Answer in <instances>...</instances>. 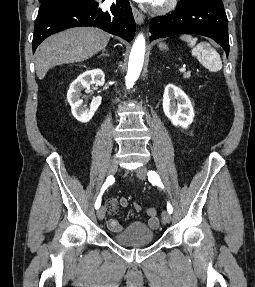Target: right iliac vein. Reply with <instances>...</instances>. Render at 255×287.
Wrapping results in <instances>:
<instances>
[{"label": "right iliac vein", "mask_w": 255, "mask_h": 287, "mask_svg": "<svg viewBox=\"0 0 255 287\" xmlns=\"http://www.w3.org/2000/svg\"><path fill=\"white\" fill-rule=\"evenodd\" d=\"M118 165L117 162L115 160H112L109 165H108V173L109 174H115L117 171ZM105 216V208L103 206H101L98 210H97V217L99 220H102Z\"/></svg>", "instance_id": "obj_1"}]
</instances>
